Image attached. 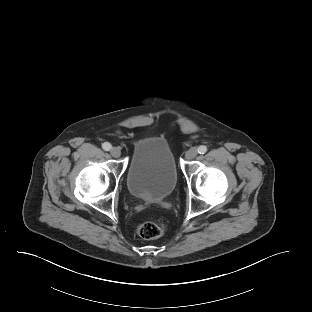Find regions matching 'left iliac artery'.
I'll return each mask as SVG.
<instances>
[{
    "instance_id": "1",
    "label": "left iliac artery",
    "mask_w": 312,
    "mask_h": 312,
    "mask_svg": "<svg viewBox=\"0 0 312 312\" xmlns=\"http://www.w3.org/2000/svg\"><path fill=\"white\" fill-rule=\"evenodd\" d=\"M197 151H198L199 154H204V153L207 152V147L204 146V145H201V146L198 147Z\"/></svg>"
}]
</instances>
